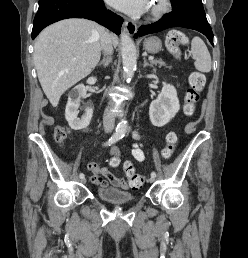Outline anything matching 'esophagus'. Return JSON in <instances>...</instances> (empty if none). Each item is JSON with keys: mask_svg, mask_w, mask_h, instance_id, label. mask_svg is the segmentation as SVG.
<instances>
[{"mask_svg": "<svg viewBox=\"0 0 248 258\" xmlns=\"http://www.w3.org/2000/svg\"><path fill=\"white\" fill-rule=\"evenodd\" d=\"M124 29L128 34H135L137 31V25L131 21L124 22Z\"/></svg>", "mask_w": 248, "mask_h": 258, "instance_id": "34e87169", "label": "esophagus"}]
</instances>
